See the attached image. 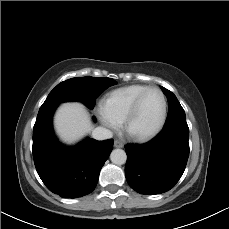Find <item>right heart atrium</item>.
<instances>
[{
  "mask_svg": "<svg viewBox=\"0 0 229 229\" xmlns=\"http://www.w3.org/2000/svg\"><path fill=\"white\" fill-rule=\"evenodd\" d=\"M102 123L111 130H117L119 128V122L115 121L110 117L104 110L103 106L100 105L98 109Z\"/></svg>",
  "mask_w": 229,
  "mask_h": 229,
  "instance_id": "obj_1",
  "label": "right heart atrium"
}]
</instances>
